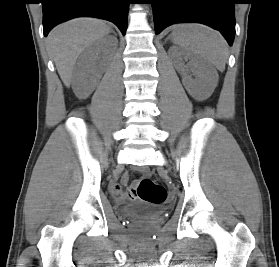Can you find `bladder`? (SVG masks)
Returning <instances> with one entry per match:
<instances>
[{
	"instance_id": "31cf9c89",
	"label": "bladder",
	"mask_w": 279,
	"mask_h": 267,
	"mask_svg": "<svg viewBox=\"0 0 279 267\" xmlns=\"http://www.w3.org/2000/svg\"><path fill=\"white\" fill-rule=\"evenodd\" d=\"M135 212L138 213L137 211H135ZM139 213H141V212H139ZM126 214H127V216H129L132 219L138 218L137 215H135L134 213H129V211H126Z\"/></svg>"
}]
</instances>
